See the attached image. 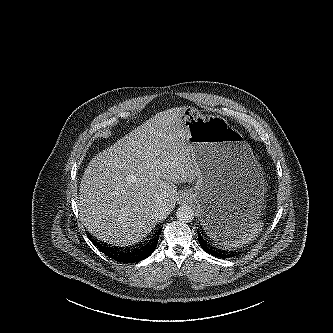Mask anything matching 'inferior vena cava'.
Returning <instances> with one entry per match:
<instances>
[{"label": "inferior vena cava", "instance_id": "602c4592", "mask_svg": "<svg viewBox=\"0 0 333 333\" xmlns=\"http://www.w3.org/2000/svg\"><path fill=\"white\" fill-rule=\"evenodd\" d=\"M167 209H166V207H165V205L164 204H162L161 206H160V208L158 209V213L160 214V215H164L165 213H167Z\"/></svg>", "mask_w": 333, "mask_h": 333}]
</instances>
